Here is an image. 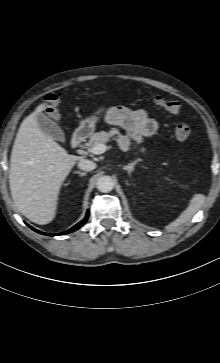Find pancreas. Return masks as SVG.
<instances>
[{
  "instance_id": "obj_1",
  "label": "pancreas",
  "mask_w": 220,
  "mask_h": 363,
  "mask_svg": "<svg viewBox=\"0 0 220 363\" xmlns=\"http://www.w3.org/2000/svg\"><path fill=\"white\" fill-rule=\"evenodd\" d=\"M111 137H114L113 139H116L118 142V146L122 151H128L130 149L131 142L127 136L121 135L118 129L112 128L109 132L100 131L97 133H94L91 137L88 143H86V146L89 148L94 147L98 144H104L110 141ZM117 137V138H116ZM141 152H145V149H141Z\"/></svg>"
}]
</instances>
